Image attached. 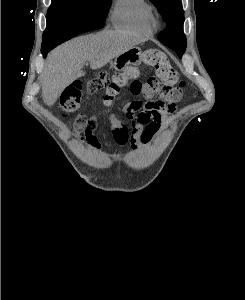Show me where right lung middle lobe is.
Masks as SVG:
<instances>
[{
  "mask_svg": "<svg viewBox=\"0 0 245 300\" xmlns=\"http://www.w3.org/2000/svg\"><path fill=\"white\" fill-rule=\"evenodd\" d=\"M110 5L111 0H52L42 47L54 48L83 33V25L87 22H103Z\"/></svg>",
  "mask_w": 245,
  "mask_h": 300,
  "instance_id": "right-lung-middle-lobe-1",
  "label": "right lung middle lobe"
}]
</instances>
